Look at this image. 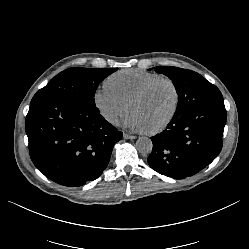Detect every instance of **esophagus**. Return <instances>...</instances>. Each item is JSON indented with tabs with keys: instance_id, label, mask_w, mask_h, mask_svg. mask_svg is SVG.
<instances>
[{
	"instance_id": "esophagus-1",
	"label": "esophagus",
	"mask_w": 249,
	"mask_h": 249,
	"mask_svg": "<svg viewBox=\"0 0 249 249\" xmlns=\"http://www.w3.org/2000/svg\"><path fill=\"white\" fill-rule=\"evenodd\" d=\"M123 137L125 139H136L137 138L136 136H133V135H130V134H126V133L123 135Z\"/></svg>"
}]
</instances>
